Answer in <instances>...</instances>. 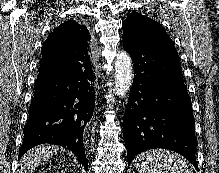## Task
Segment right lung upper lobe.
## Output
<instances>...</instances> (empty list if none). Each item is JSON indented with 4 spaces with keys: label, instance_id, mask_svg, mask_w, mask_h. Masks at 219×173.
<instances>
[{
    "label": "right lung upper lobe",
    "instance_id": "cb5924a9",
    "mask_svg": "<svg viewBox=\"0 0 219 173\" xmlns=\"http://www.w3.org/2000/svg\"><path fill=\"white\" fill-rule=\"evenodd\" d=\"M91 36L87 28L73 20L62 23L50 33L43 43L41 54L43 61L52 60L56 63H64L71 55H84L90 60L88 41Z\"/></svg>",
    "mask_w": 219,
    "mask_h": 173
}]
</instances>
